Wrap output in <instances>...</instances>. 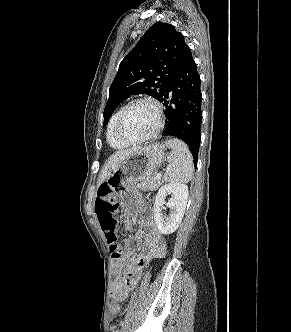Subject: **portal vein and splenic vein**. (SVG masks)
<instances>
[{
    "mask_svg": "<svg viewBox=\"0 0 291 332\" xmlns=\"http://www.w3.org/2000/svg\"><path fill=\"white\" fill-rule=\"evenodd\" d=\"M161 176H162V174H161V173H157V174H156V178H157V179H160V178H161Z\"/></svg>",
    "mask_w": 291,
    "mask_h": 332,
    "instance_id": "obj_1",
    "label": "portal vein and splenic vein"
}]
</instances>
